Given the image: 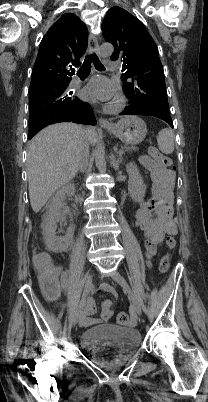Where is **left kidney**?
I'll use <instances>...</instances> for the list:
<instances>
[{"label": "left kidney", "instance_id": "left-kidney-1", "mask_svg": "<svg viewBox=\"0 0 208 402\" xmlns=\"http://www.w3.org/2000/svg\"><path fill=\"white\" fill-rule=\"evenodd\" d=\"M126 170L129 176L128 194L134 202H142L146 192L143 178L140 176L139 170H137L135 164H128Z\"/></svg>", "mask_w": 208, "mask_h": 402}]
</instances>
